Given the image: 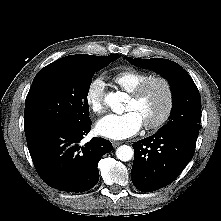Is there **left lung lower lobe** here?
Wrapping results in <instances>:
<instances>
[{"label": "left lung lower lobe", "instance_id": "left-lung-lower-lobe-1", "mask_svg": "<svg viewBox=\"0 0 221 221\" xmlns=\"http://www.w3.org/2000/svg\"><path fill=\"white\" fill-rule=\"evenodd\" d=\"M199 131L171 129L133 144L131 179L142 192H152L173 182L192 159Z\"/></svg>", "mask_w": 221, "mask_h": 221}]
</instances>
